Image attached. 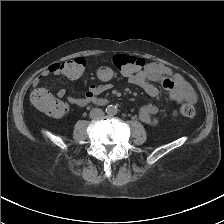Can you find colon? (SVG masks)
I'll return each mask as SVG.
<instances>
[{
    "instance_id": "obj_1",
    "label": "colon",
    "mask_w": 224,
    "mask_h": 224,
    "mask_svg": "<svg viewBox=\"0 0 224 224\" xmlns=\"http://www.w3.org/2000/svg\"><path fill=\"white\" fill-rule=\"evenodd\" d=\"M113 65L124 75H132L142 71L146 67L144 59L125 54H118L112 58ZM87 68V61L83 57H77L60 62L59 70L62 76L69 79H78ZM33 105L43 113L60 118L67 112L65 102L55 98L44 88H36L31 94ZM182 117L193 119L197 111L193 104L185 102L180 107Z\"/></svg>"
}]
</instances>
